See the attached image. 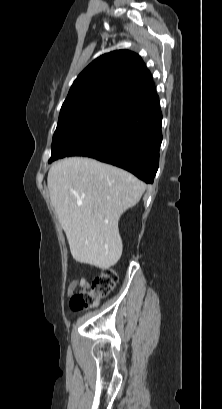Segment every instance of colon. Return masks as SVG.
Listing matches in <instances>:
<instances>
[{
  "instance_id": "colon-1",
  "label": "colon",
  "mask_w": 222,
  "mask_h": 409,
  "mask_svg": "<svg viewBox=\"0 0 222 409\" xmlns=\"http://www.w3.org/2000/svg\"><path fill=\"white\" fill-rule=\"evenodd\" d=\"M117 281L116 271L113 268H104L93 278L89 290L79 291L72 296L69 303L70 309L73 312H79L93 308L113 290Z\"/></svg>"
}]
</instances>
